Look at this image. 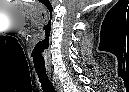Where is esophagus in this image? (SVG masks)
Masks as SVG:
<instances>
[{
  "instance_id": "1",
  "label": "esophagus",
  "mask_w": 129,
  "mask_h": 92,
  "mask_svg": "<svg viewBox=\"0 0 129 92\" xmlns=\"http://www.w3.org/2000/svg\"><path fill=\"white\" fill-rule=\"evenodd\" d=\"M50 79L57 92H62V85L59 82L58 78L55 75L50 74Z\"/></svg>"
}]
</instances>
